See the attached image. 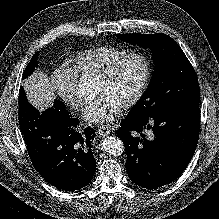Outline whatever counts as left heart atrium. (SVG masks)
Instances as JSON below:
<instances>
[{
    "label": "left heart atrium",
    "instance_id": "left-heart-atrium-1",
    "mask_svg": "<svg viewBox=\"0 0 219 219\" xmlns=\"http://www.w3.org/2000/svg\"><path fill=\"white\" fill-rule=\"evenodd\" d=\"M121 106L108 96H100L84 112L87 123L104 125L114 121L120 114Z\"/></svg>",
    "mask_w": 219,
    "mask_h": 219
}]
</instances>
